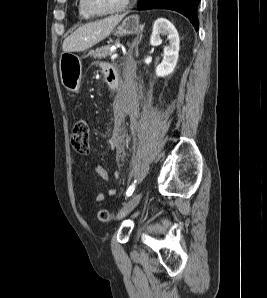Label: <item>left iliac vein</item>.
<instances>
[{
    "label": "left iliac vein",
    "mask_w": 267,
    "mask_h": 298,
    "mask_svg": "<svg viewBox=\"0 0 267 298\" xmlns=\"http://www.w3.org/2000/svg\"><path fill=\"white\" fill-rule=\"evenodd\" d=\"M143 193H137L133 195L125 204L124 206L119 210L117 214V219H122L127 214H129L140 202L142 198Z\"/></svg>",
    "instance_id": "left-iliac-vein-1"
}]
</instances>
